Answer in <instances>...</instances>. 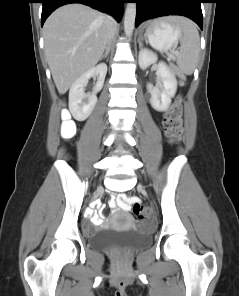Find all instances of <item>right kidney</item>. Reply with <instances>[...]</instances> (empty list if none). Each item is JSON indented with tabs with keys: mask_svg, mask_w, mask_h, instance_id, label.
I'll list each match as a JSON object with an SVG mask.
<instances>
[{
	"mask_svg": "<svg viewBox=\"0 0 239 296\" xmlns=\"http://www.w3.org/2000/svg\"><path fill=\"white\" fill-rule=\"evenodd\" d=\"M106 73L107 65L101 63L83 73L72 84L69 91V110L76 120L84 121L93 111L97 103L96 94L104 85ZM91 77L97 78L96 85L91 94H85L84 88Z\"/></svg>",
	"mask_w": 239,
	"mask_h": 296,
	"instance_id": "ca27d5eb",
	"label": "right kidney"
}]
</instances>
